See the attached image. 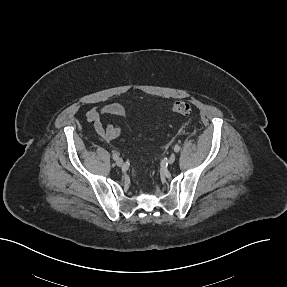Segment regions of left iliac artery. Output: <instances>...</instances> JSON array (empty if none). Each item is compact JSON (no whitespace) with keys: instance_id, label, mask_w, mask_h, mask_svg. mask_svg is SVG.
Here are the masks:
<instances>
[{"instance_id":"left-iliac-artery-1","label":"left iliac artery","mask_w":287,"mask_h":287,"mask_svg":"<svg viewBox=\"0 0 287 287\" xmlns=\"http://www.w3.org/2000/svg\"><path fill=\"white\" fill-rule=\"evenodd\" d=\"M179 150H180V147H179L178 145H175V146H174V151H175V152H179Z\"/></svg>"}]
</instances>
